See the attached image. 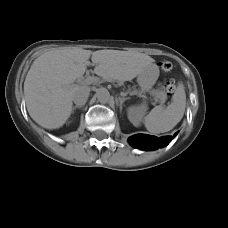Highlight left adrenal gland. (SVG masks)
Segmentation results:
<instances>
[{"instance_id":"1","label":"left adrenal gland","mask_w":228,"mask_h":228,"mask_svg":"<svg viewBox=\"0 0 228 228\" xmlns=\"http://www.w3.org/2000/svg\"><path fill=\"white\" fill-rule=\"evenodd\" d=\"M119 101H120V111H122V106H123V103L125 102V100H127L128 98H122V97H119L118 98Z\"/></svg>"}]
</instances>
